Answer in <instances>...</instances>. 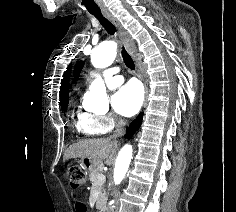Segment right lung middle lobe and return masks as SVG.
Masks as SVG:
<instances>
[{
	"instance_id": "dd1d6c3e",
	"label": "right lung middle lobe",
	"mask_w": 236,
	"mask_h": 212,
	"mask_svg": "<svg viewBox=\"0 0 236 212\" xmlns=\"http://www.w3.org/2000/svg\"><path fill=\"white\" fill-rule=\"evenodd\" d=\"M60 103H61V109L65 111L68 105V99L60 101Z\"/></svg>"
}]
</instances>
